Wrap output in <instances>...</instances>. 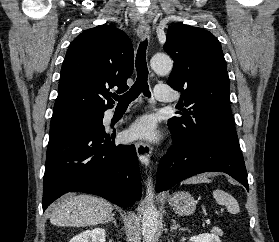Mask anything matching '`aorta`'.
<instances>
[{
	"label": "aorta",
	"instance_id": "aorta-1",
	"mask_svg": "<svg viewBox=\"0 0 279 242\" xmlns=\"http://www.w3.org/2000/svg\"><path fill=\"white\" fill-rule=\"evenodd\" d=\"M152 69L160 75L169 74L173 67V61L165 54H156L150 61ZM146 190L147 205L142 217V236L144 242H152L158 229V210L153 202V184L148 179Z\"/></svg>",
	"mask_w": 279,
	"mask_h": 242
}]
</instances>
